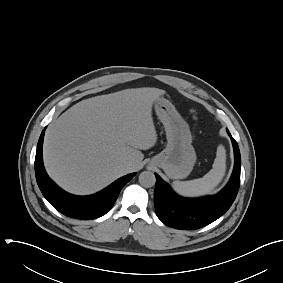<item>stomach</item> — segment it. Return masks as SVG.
<instances>
[{
	"mask_svg": "<svg viewBox=\"0 0 283 283\" xmlns=\"http://www.w3.org/2000/svg\"><path fill=\"white\" fill-rule=\"evenodd\" d=\"M155 111L164 125L167 146L151 159L150 164L162 168L171 179H184L196 162L189 125L175 106L163 97L155 101Z\"/></svg>",
	"mask_w": 283,
	"mask_h": 283,
	"instance_id": "stomach-1",
	"label": "stomach"
}]
</instances>
